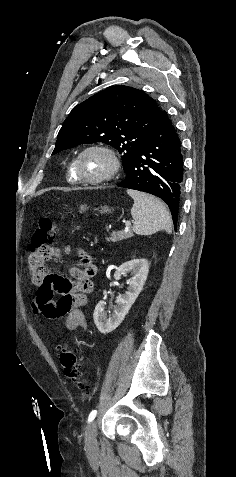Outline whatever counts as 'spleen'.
<instances>
[{
    "label": "spleen",
    "mask_w": 236,
    "mask_h": 477,
    "mask_svg": "<svg viewBox=\"0 0 236 477\" xmlns=\"http://www.w3.org/2000/svg\"><path fill=\"white\" fill-rule=\"evenodd\" d=\"M134 200L131 215L134 218L133 231L138 235H151L160 230L172 232V221L163 203L156 197L128 189Z\"/></svg>",
    "instance_id": "3e777b00"
}]
</instances>
